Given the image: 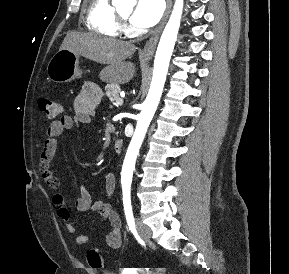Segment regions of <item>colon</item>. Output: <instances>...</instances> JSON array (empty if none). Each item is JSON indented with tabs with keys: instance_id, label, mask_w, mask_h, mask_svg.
<instances>
[{
	"instance_id": "1",
	"label": "colon",
	"mask_w": 289,
	"mask_h": 274,
	"mask_svg": "<svg viewBox=\"0 0 289 274\" xmlns=\"http://www.w3.org/2000/svg\"><path fill=\"white\" fill-rule=\"evenodd\" d=\"M40 109L46 114V116L50 119L57 118L62 111L61 104L50 98H41L39 100ZM87 260L89 265L97 270H101L104 268V260L102 256L95 250H91L87 254ZM126 273H136V270H128ZM110 274V273H105Z\"/></svg>"
}]
</instances>
